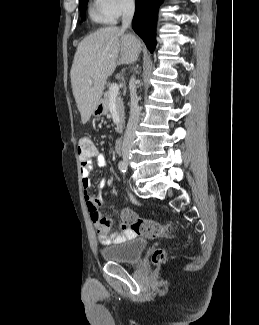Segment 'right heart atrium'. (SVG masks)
I'll return each mask as SVG.
<instances>
[{
    "mask_svg": "<svg viewBox=\"0 0 259 325\" xmlns=\"http://www.w3.org/2000/svg\"><path fill=\"white\" fill-rule=\"evenodd\" d=\"M104 12L113 20L119 18L134 6V0H100Z\"/></svg>",
    "mask_w": 259,
    "mask_h": 325,
    "instance_id": "1",
    "label": "right heart atrium"
}]
</instances>
